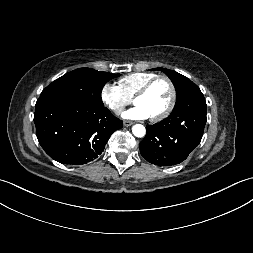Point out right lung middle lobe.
Segmentation results:
<instances>
[{
    "label": "right lung middle lobe",
    "instance_id": "1",
    "mask_svg": "<svg viewBox=\"0 0 253 253\" xmlns=\"http://www.w3.org/2000/svg\"><path fill=\"white\" fill-rule=\"evenodd\" d=\"M120 74L80 68L66 73L46 87L40 96L77 100L95 106H104L101 92L104 85Z\"/></svg>",
    "mask_w": 253,
    "mask_h": 253
}]
</instances>
